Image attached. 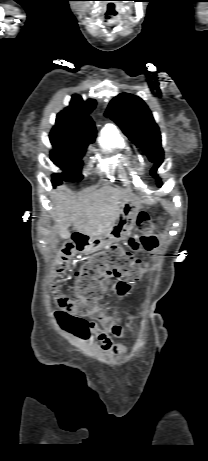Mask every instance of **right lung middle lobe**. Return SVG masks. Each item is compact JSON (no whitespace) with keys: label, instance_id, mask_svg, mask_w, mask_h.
Here are the masks:
<instances>
[{"label":"right lung middle lobe","instance_id":"1","mask_svg":"<svg viewBox=\"0 0 208 461\" xmlns=\"http://www.w3.org/2000/svg\"><path fill=\"white\" fill-rule=\"evenodd\" d=\"M96 135L74 138L71 136L51 131L50 141L54 147L51 151V161L63 172L52 175V184L56 186L62 181L78 182L83 176L81 168L82 157L89 143H92Z\"/></svg>","mask_w":208,"mask_h":461}]
</instances>
